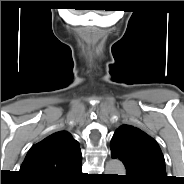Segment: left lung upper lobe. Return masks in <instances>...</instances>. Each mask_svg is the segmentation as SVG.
<instances>
[{"mask_svg": "<svg viewBox=\"0 0 184 184\" xmlns=\"http://www.w3.org/2000/svg\"><path fill=\"white\" fill-rule=\"evenodd\" d=\"M110 149L137 180L151 184H164L168 180L160 147L142 130L120 126L111 139Z\"/></svg>", "mask_w": 184, "mask_h": 184, "instance_id": "obj_1", "label": "left lung upper lobe"}]
</instances>
